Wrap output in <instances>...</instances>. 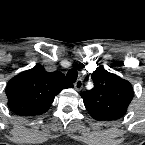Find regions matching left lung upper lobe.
Returning a JSON list of instances; mask_svg holds the SVG:
<instances>
[{"instance_id":"5c2ea615","label":"left lung upper lobe","mask_w":145,"mask_h":145,"mask_svg":"<svg viewBox=\"0 0 145 145\" xmlns=\"http://www.w3.org/2000/svg\"><path fill=\"white\" fill-rule=\"evenodd\" d=\"M95 86L81 96L89 114L97 121H112L123 117L133 98L130 82L97 68L92 73Z\"/></svg>"}]
</instances>
